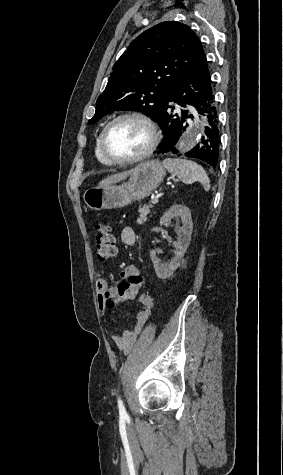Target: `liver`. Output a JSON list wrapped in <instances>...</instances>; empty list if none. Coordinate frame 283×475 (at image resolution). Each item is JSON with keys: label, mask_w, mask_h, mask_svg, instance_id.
Returning a JSON list of instances; mask_svg holds the SVG:
<instances>
[{"label": "liver", "mask_w": 283, "mask_h": 475, "mask_svg": "<svg viewBox=\"0 0 283 475\" xmlns=\"http://www.w3.org/2000/svg\"><path fill=\"white\" fill-rule=\"evenodd\" d=\"M132 170H128V172H120V174H114V176H109L106 180H102L99 182L97 188H104V186H111V184H118V182H122L125 178L130 176Z\"/></svg>", "instance_id": "liver-1"}]
</instances>
